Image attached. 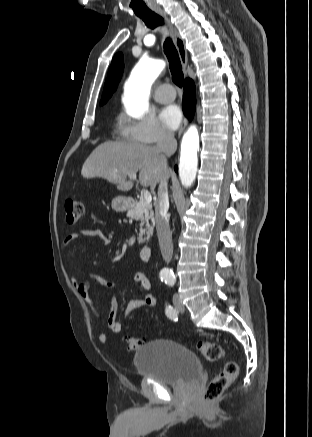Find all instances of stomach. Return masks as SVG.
I'll return each mask as SVG.
<instances>
[{"mask_svg": "<svg viewBox=\"0 0 312 437\" xmlns=\"http://www.w3.org/2000/svg\"><path fill=\"white\" fill-rule=\"evenodd\" d=\"M111 206L112 209L117 212H124L129 208L130 202L129 199L124 196H117L113 198Z\"/></svg>", "mask_w": 312, "mask_h": 437, "instance_id": "1", "label": "stomach"}]
</instances>
